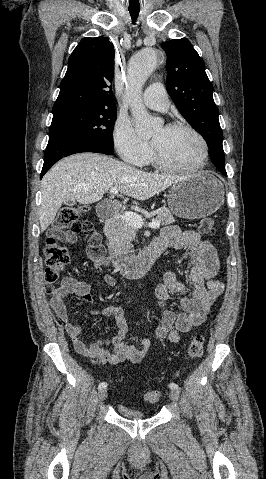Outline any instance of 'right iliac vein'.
Masks as SVG:
<instances>
[{
	"label": "right iliac vein",
	"instance_id": "obj_1",
	"mask_svg": "<svg viewBox=\"0 0 266 479\" xmlns=\"http://www.w3.org/2000/svg\"><path fill=\"white\" fill-rule=\"evenodd\" d=\"M106 397H107V389H105V388H104V389H101V390L99 391V393H98V399H99V401H100V402H101V401H104V400L106 399Z\"/></svg>",
	"mask_w": 266,
	"mask_h": 479
}]
</instances>
